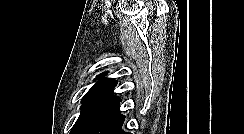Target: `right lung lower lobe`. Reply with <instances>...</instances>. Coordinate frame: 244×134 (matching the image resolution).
Wrapping results in <instances>:
<instances>
[{"mask_svg":"<svg viewBox=\"0 0 244 134\" xmlns=\"http://www.w3.org/2000/svg\"><path fill=\"white\" fill-rule=\"evenodd\" d=\"M124 121H125V116L123 117L121 122L117 125V127L110 134H130V133L124 132L122 130Z\"/></svg>","mask_w":244,"mask_h":134,"instance_id":"1","label":"right lung lower lobe"}]
</instances>
